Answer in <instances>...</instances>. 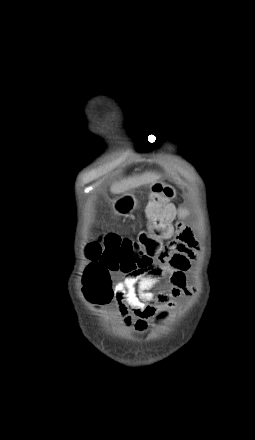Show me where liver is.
I'll return each mask as SVG.
<instances>
[{
  "label": "liver",
  "instance_id": "obj_1",
  "mask_svg": "<svg viewBox=\"0 0 255 440\" xmlns=\"http://www.w3.org/2000/svg\"><path fill=\"white\" fill-rule=\"evenodd\" d=\"M160 178L156 173H144L141 176H134L124 179L111 186L110 191L113 194L125 193L131 189L137 188L144 184L154 183Z\"/></svg>",
  "mask_w": 255,
  "mask_h": 440
}]
</instances>
